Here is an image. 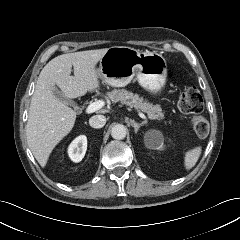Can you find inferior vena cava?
Instances as JSON below:
<instances>
[{
  "instance_id": "602c4592",
  "label": "inferior vena cava",
  "mask_w": 240,
  "mask_h": 240,
  "mask_svg": "<svg viewBox=\"0 0 240 240\" xmlns=\"http://www.w3.org/2000/svg\"><path fill=\"white\" fill-rule=\"evenodd\" d=\"M106 123V117L103 115H94L89 119V124L93 128H102Z\"/></svg>"
}]
</instances>
